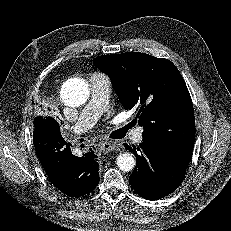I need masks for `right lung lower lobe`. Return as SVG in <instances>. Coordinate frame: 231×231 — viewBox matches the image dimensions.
I'll return each instance as SVG.
<instances>
[{
    "instance_id": "98d812e1",
    "label": "right lung lower lobe",
    "mask_w": 231,
    "mask_h": 231,
    "mask_svg": "<svg viewBox=\"0 0 231 231\" xmlns=\"http://www.w3.org/2000/svg\"><path fill=\"white\" fill-rule=\"evenodd\" d=\"M33 144L51 182L64 194L79 197L98 185L97 156L91 149L82 157L74 156L71 144L62 138L59 124L52 118L34 125Z\"/></svg>"
}]
</instances>
